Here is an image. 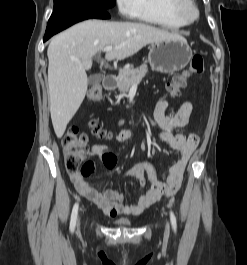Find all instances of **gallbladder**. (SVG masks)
Returning a JSON list of instances; mask_svg holds the SVG:
<instances>
[{"instance_id": "gallbladder-1", "label": "gallbladder", "mask_w": 247, "mask_h": 265, "mask_svg": "<svg viewBox=\"0 0 247 265\" xmlns=\"http://www.w3.org/2000/svg\"><path fill=\"white\" fill-rule=\"evenodd\" d=\"M101 80H102V75L95 74V75H92V76L89 77L88 82H89V84L91 86H93V85H96V84L100 83Z\"/></svg>"}]
</instances>
